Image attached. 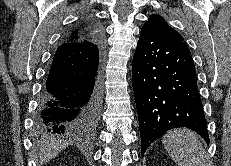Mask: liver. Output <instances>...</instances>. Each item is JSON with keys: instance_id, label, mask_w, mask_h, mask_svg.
Masks as SVG:
<instances>
[{"instance_id": "liver-1", "label": "liver", "mask_w": 231, "mask_h": 166, "mask_svg": "<svg viewBox=\"0 0 231 166\" xmlns=\"http://www.w3.org/2000/svg\"><path fill=\"white\" fill-rule=\"evenodd\" d=\"M68 144L57 140L43 141L39 145V160L41 164L47 163L56 157Z\"/></svg>"}]
</instances>
